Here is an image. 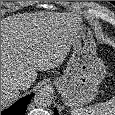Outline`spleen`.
<instances>
[{
    "label": "spleen",
    "mask_w": 115,
    "mask_h": 115,
    "mask_svg": "<svg viewBox=\"0 0 115 115\" xmlns=\"http://www.w3.org/2000/svg\"><path fill=\"white\" fill-rule=\"evenodd\" d=\"M71 115H115V96L108 102L73 109Z\"/></svg>",
    "instance_id": "1"
}]
</instances>
